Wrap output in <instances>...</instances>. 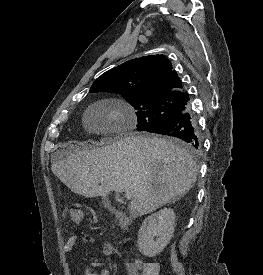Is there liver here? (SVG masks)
Listing matches in <instances>:
<instances>
[{
	"instance_id": "6515ba94",
	"label": "liver",
	"mask_w": 263,
	"mask_h": 275,
	"mask_svg": "<svg viewBox=\"0 0 263 275\" xmlns=\"http://www.w3.org/2000/svg\"><path fill=\"white\" fill-rule=\"evenodd\" d=\"M51 170L72 192L85 197L130 192L132 217L145 215L186 194L197 165L189 152L159 137L128 136L92 150L58 152Z\"/></svg>"
}]
</instances>
